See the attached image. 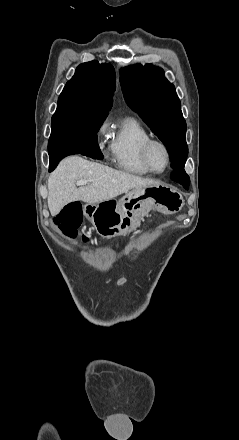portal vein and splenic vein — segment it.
<instances>
[{
  "instance_id": "18ae733b",
  "label": "portal vein and splenic vein",
  "mask_w": 239,
  "mask_h": 440,
  "mask_svg": "<svg viewBox=\"0 0 239 440\" xmlns=\"http://www.w3.org/2000/svg\"><path fill=\"white\" fill-rule=\"evenodd\" d=\"M88 180H79V182H76V186H86Z\"/></svg>"
}]
</instances>
